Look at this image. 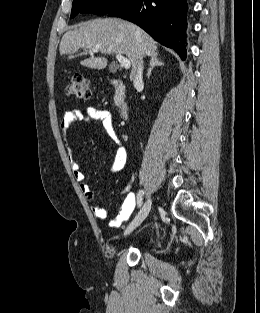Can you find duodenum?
<instances>
[{
	"instance_id": "obj_1",
	"label": "duodenum",
	"mask_w": 260,
	"mask_h": 313,
	"mask_svg": "<svg viewBox=\"0 0 260 313\" xmlns=\"http://www.w3.org/2000/svg\"><path fill=\"white\" fill-rule=\"evenodd\" d=\"M112 85L114 88L116 102L118 106V114L120 118L126 120L130 116V109L125 99L126 86L119 78H113Z\"/></svg>"
}]
</instances>
